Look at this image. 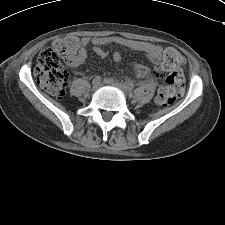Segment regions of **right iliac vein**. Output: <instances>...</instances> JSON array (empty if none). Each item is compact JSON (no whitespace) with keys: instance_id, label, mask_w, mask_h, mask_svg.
Segmentation results:
<instances>
[{"instance_id":"obj_1","label":"right iliac vein","mask_w":225,"mask_h":225,"mask_svg":"<svg viewBox=\"0 0 225 225\" xmlns=\"http://www.w3.org/2000/svg\"><path fill=\"white\" fill-rule=\"evenodd\" d=\"M100 88V83H93L92 84V91L95 92Z\"/></svg>"}]
</instances>
